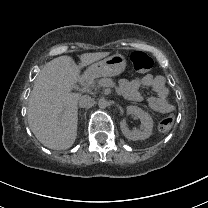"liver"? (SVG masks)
I'll use <instances>...</instances> for the list:
<instances>
[{"label":"liver","mask_w":208,"mask_h":208,"mask_svg":"<svg viewBox=\"0 0 208 208\" xmlns=\"http://www.w3.org/2000/svg\"><path fill=\"white\" fill-rule=\"evenodd\" d=\"M111 54L90 52L78 56L77 66L71 56L63 55L47 62L34 81L29 96V126L45 147L69 149L77 138L79 94L71 93L81 81V70Z\"/></svg>","instance_id":"liver-1"}]
</instances>
